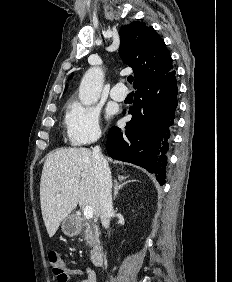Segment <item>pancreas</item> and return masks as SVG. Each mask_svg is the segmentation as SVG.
Here are the masks:
<instances>
[{
    "instance_id": "pancreas-1",
    "label": "pancreas",
    "mask_w": 232,
    "mask_h": 282,
    "mask_svg": "<svg viewBox=\"0 0 232 282\" xmlns=\"http://www.w3.org/2000/svg\"><path fill=\"white\" fill-rule=\"evenodd\" d=\"M83 226L86 227L85 228V240L87 241V244L89 245H93L95 243H97L99 241V229L98 226L94 223H90L88 221L83 222Z\"/></svg>"
}]
</instances>
